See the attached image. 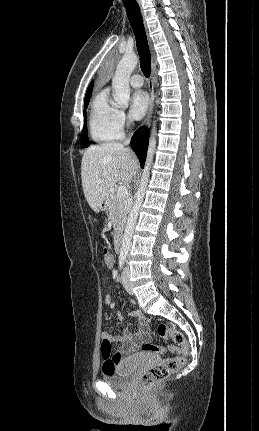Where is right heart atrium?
Here are the masks:
<instances>
[{"instance_id":"right-heart-atrium-1","label":"right heart atrium","mask_w":259,"mask_h":431,"mask_svg":"<svg viewBox=\"0 0 259 431\" xmlns=\"http://www.w3.org/2000/svg\"><path fill=\"white\" fill-rule=\"evenodd\" d=\"M115 122L120 129H123L131 124V118L124 110L116 109Z\"/></svg>"}]
</instances>
